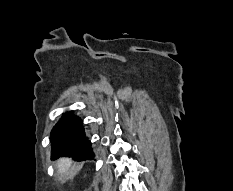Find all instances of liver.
I'll use <instances>...</instances> for the list:
<instances>
[{"label":"liver","mask_w":233,"mask_h":191,"mask_svg":"<svg viewBox=\"0 0 233 191\" xmlns=\"http://www.w3.org/2000/svg\"><path fill=\"white\" fill-rule=\"evenodd\" d=\"M72 164V160L70 158H62L57 162V168L59 173L62 175L66 173Z\"/></svg>","instance_id":"1"}]
</instances>
